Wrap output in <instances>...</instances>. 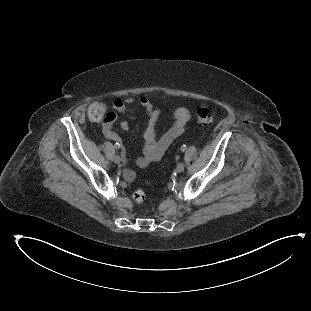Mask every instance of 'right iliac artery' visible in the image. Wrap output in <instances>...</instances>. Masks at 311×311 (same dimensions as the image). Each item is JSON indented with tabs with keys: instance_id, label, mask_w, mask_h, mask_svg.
I'll return each instance as SVG.
<instances>
[{
	"instance_id": "obj_1",
	"label": "right iliac artery",
	"mask_w": 311,
	"mask_h": 311,
	"mask_svg": "<svg viewBox=\"0 0 311 311\" xmlns=\"http://www.w3.org/2000/svg\"><path fill=\"white\" fill-rule=\"evenodd\" d=\"M115 149H119L121 147L120 143L116 142V144L114 145Z\"/></svg>"
}]
</instances>
